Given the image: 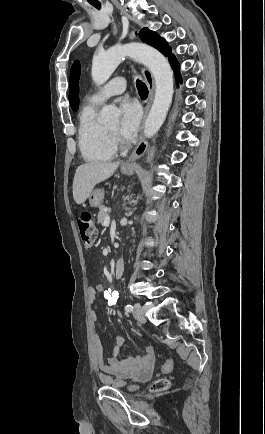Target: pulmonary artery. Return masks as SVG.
<instances>
[{"label": "pulmonary artery", "mask_w": 265, "mask_h": 434, "mask_svg": "<svg viewBox=\"0 0 265 434\" xmlns=\"http://www.w3.org/2000/svg\"><path fill=\"white\" fill-rule=\"evenodd\" d=\"M129 78L127 75H119L106 83V90H96L92 95V100L98 104L105 101L106 97L112 94H120L128 87Z\"/></svg>", "instance_id": "1"}]
</instances>
